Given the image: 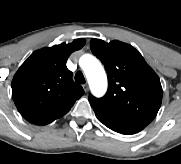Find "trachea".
<instances>
[{"mask_svg": "<svg viewBox=\"0 0 181 164\" xmlns=\"http://www.w3.org/2000/svg\"><path fill=\"white\" fill-rule=\"evenodd\" d=\"M75 81L78 83H81V84L85 83V78L81 71H79L75 74Z\"/></svg>", "mask_w": 181, "mask_h": 164, "instance_id": "trachea-1", "label": "trachea"}]
</instances>
